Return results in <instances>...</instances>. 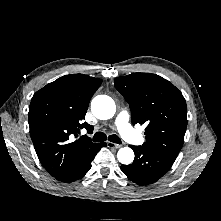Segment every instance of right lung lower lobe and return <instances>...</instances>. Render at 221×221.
I'll use <instances>...</instances> for the list:
<instances>
[{"mask_svg":"<svg viewBox=\"0 0 221 221\" xmlns=\"http://www.w3.org/2000/svg\"><path fill=\"white\" fill-rule=\"evenodd\" d=\"M107 146L104 144H97L91 152H89L84 158H82L79 162L61 170L60 172L53 175L57 180L62 182H72L82 178L91 168V162L94 159L95 155L99 152V150Z\"/></svg>","mask_w":221,"mask_h":221,"instance_id":"obj_1","label":"right lung lower lobe"}]
</instances>
